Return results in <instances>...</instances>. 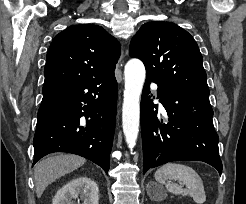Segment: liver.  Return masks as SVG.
Listing matches in <instances>:
<instances>
[{"label":"liver","instance_id":"1","mask_svg":"<svg viewBox=\"0 0 246 204\" xmlns=\"http://www.w3.org/2000/svg\"><path fill=\"white\" fill-rule=\"evenodd\" d=\"M86 160L74 154H59L38 162L34 169L36 195L41 197L48 185L61 176L79 168Z\"/></svg>","mask_w":246,"mask_h":204}]
</instances>
